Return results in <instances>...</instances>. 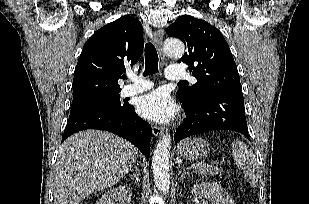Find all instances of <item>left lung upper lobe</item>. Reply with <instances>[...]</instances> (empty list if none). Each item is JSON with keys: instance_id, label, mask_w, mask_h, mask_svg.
Returning a JSON list of instances; mask_svg holds the SVG:
<instances>
[{"instance_id": "left-lung-upper-lobe-1", "label": "left lung upper lobe", "mask_w": 309, "mask_h": 204, "mask_svg": "<svg viewBox=\"0 0 309 204\" xmlns=\"http://www.w3.org/2000/svg\"><path fill=\"white\" fill-rule=\"evenodd\" d=\"M166 32L179 38L187 52L178 61L188 64L197 83L178 90L180 100L195 101L202 96L216 93H241L237 66L222 33L204 20L190 15L180 16Z\"/></svg>"}]
</instances>
